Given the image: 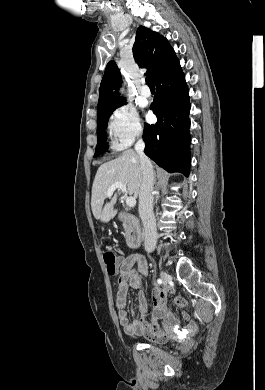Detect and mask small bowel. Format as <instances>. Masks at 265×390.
Returning <instances> with one entry per match:
<instances>
[{
  "mask_svg": "<svg viewBox=\"0 0 265 390\" xmlns=\"http://www.w3.org/2000/svg\"><path fill=\"white\" fill-rule=\"evenodd\" d=\"M119 279L118 289L115 299V307L119 324L128 335H144L155 341H163L168 338V333L159 327V320L173 321L175 318L170 312L166 303L167 291L162 288H155L151 294V304L153 306V322L148 321L150 304L146 296L145 278L147 275V261L141 254H130L119 259ZM129 288L139 291V313L140 318L129 320L126 312L127 294ZM132 315L136 312L132 310ZM183 318L187 321L183 331L192 334L197 330V324L190 321L186 313ZM167 325V323H165Z\"/></svg>",
  "mask_w": 265,
  "mask_h": 390,
  "instance_id": "small-bowel-1",
  "label": "small bowel"
}]
</instances>
